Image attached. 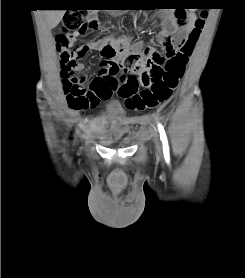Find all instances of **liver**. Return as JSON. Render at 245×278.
I'll return each mask as SVG.
<instances>
[{"label": "liver", "instance_id": "liver-1", "mask_svg": "<svg viewBox=\"0 0 245 278\" xmlns=\"http://www.w3.org/2000/svg\"><path fill=\"white\" fill-rule=\"evenodd\" d=\"M65 10H45L46 24L50 29L55 28L62 20Z\"/></svg>", "mask_w": 245, "mask_h": 278}]
</instances>
